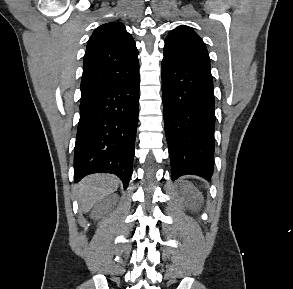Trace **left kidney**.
I'll use <instances>...</instances> for the list:
<instances>
[{
    "label": "left kidney",
    "mask_w": 293,
    "mask_h": 289,
    "mask_svg": "<svg viewBox=\"0 0 293 289\" xmlns=\"http://www.w3.org/2000/svg\"><path fill=\"white\" fill-rule=\"evenodd\" d=\"M187 187H188V190L195 191L196 196H197L200 200H202V196H201V194H200L199 192H197L196 189H195L193 186H191V185H187Z\"/></svg>",
    "instance_id": "1"
}]
</instances>
